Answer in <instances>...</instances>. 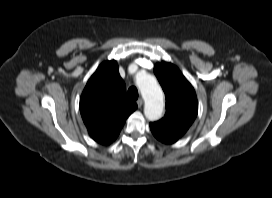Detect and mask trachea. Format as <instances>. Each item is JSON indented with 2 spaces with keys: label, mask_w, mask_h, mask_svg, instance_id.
I'll list each match as a JSON object with an SVG mask.
<instances>
[{
  "label": "trachea",
  "mask_w": 272,
  "mask_h": 198,
  "mask_svg": "<svg viewBox=\"0 0 272 198\" xmlns=\"http://www.w3.org/2000/svg\"><path fill=\"white\" fill-rule=\"evenodd\" d=\"M128 96L132 99V100H137L138 99V90L136 87L134 86H131L129 89H128Z\"/></svg>",
  "instance_id": "3493384b"
}]
</instances>
